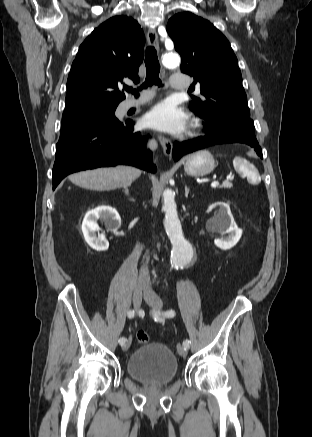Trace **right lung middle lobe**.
I'll return each mask as SVG.
<instances>
[{
    "mask_svg": "<svg viewBox=\"0 0 312 437\" xmlns=\"http://www.w3.org/2000/svg\"><path fill=\"white\" fill-rule=\"evenodd\" d=\"M115 106H78L64 110L60 139L79 132L118 122Z\"/></svg>",
    "mask_w": 312,
    "mask_h": 437,
    "instance_id": "right-lung-middle-lobe-1",
    "label": "right lung middle lobe"
}]
</instances>
